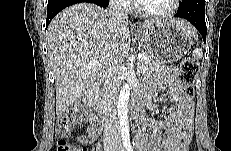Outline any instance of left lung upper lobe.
I'll return each mask as SVG.
<instances>
[{"mask_svg": "<svg viewBox=\"0 0 231 151\" xmlns=\"http://www.w3.org/2000/svg\"><path fill=\"white\" fill-rule=\"evenodd\" d=\"M183 2H185V0H182V1L180 2V5H181Z\"/></svg>", "mask_w": 231, "mask_h": 151, "instance_id": "1", "label": "left lung upper lobe"}]
</instances>
